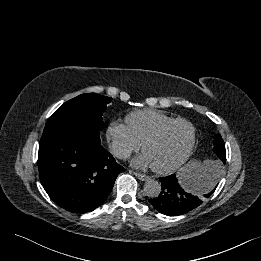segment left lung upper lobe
I'll return each instance as SVG.
<instances>
[{
  "label": "left lung upper lobe",
  "mask_w": 261,
  "mask_h": 261,
  "mask_svg": "<svg viewBox=\"0 0 261 261\" xmlns=\"http://www.w3.org/2000/svg\"><path fill=\"white\" fill-rule=\"evenodd\" d=\"M213 144H214L213 151L218 157L217 162H219L221 164L225 163V161H226V150H225L224 141H223L221 135H215L214 136Z\"/></svg>",
  "instance_id": "5c2ea615"
}]
</instances>
